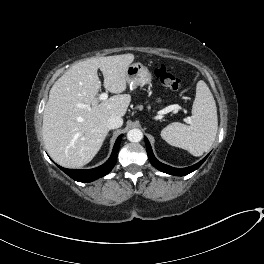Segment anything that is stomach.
Here are the masks:
<instances>
[{"mask_svg":"<svg viewBox=\"0 0 264 264\" xmlns=\"http://www.w3.org/2000/svg\"><path fill=\"white\" fill-rule=\"evenodd\" d=\"M127 82L133 87L143 86L151 82L152 75L142 63H133L126 71Z\"/></svg>","mask_w":264,"mask_h":264,"instance_id":"1","label":"stomach"}]
</instances>
